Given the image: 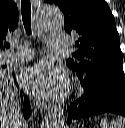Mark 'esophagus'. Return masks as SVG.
<instances>
[{
	"label": "esophagus",
	"mask_w": 125,
	"mask_h": 128,
	"mask_svg": "<svg viewBox=\"0 0 125 128\" xmlns=\"http://www.w3.org/2000/svg\"><path fill=\"white\" fill-rule=\"evenodd\" d=\"M36 107L40 110H47V109H49L50 105L45 102H41V101L37 100Z\"/></svg>",
	"instance_id": "obj_1"
}]
</instances>
